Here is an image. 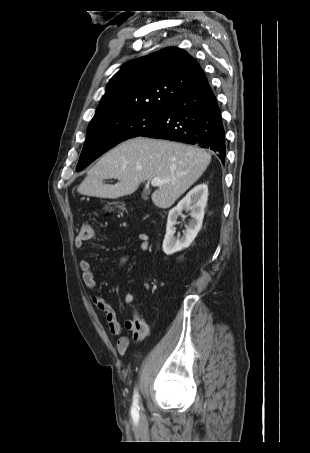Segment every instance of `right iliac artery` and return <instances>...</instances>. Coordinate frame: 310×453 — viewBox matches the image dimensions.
I'll list each match as a JSON object with an SVG mask.
<instances>
[{
  "label": "right iliac artery",
  "instance_id": "82829eb1",
  "mask_svg": "<svg viewBox=\"0 0 310 453\" xmlns=\"http://www.w3.org/2000/svg\"><path fill=\"white\" fill-rule=\"evenodd\" d=\"M138 398H139V395H138V393L136 392V393L134 394L133 406H132V409H131V412H132V415H133V416H138V410H139V406H138Z\"/></svg>",
  "mask_w": 310,
  "mask_h": 453
}]
</instances>
